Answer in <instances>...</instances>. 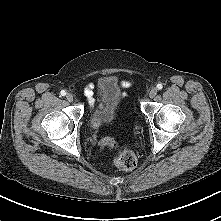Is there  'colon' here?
<instances>
[{
    "mask_svg": "<svg viewBox=\"0 0 221 221\" xmlns=\"http://www.w3.org/2000/svg\"><path fill=\"white\" fill-rule=\"evenodd\" d=\"M101 146L114 147L116 146V142L114 139L107 137L102 139ZM114 163L119 169L129 171L136 167L137 156L131 149L123 148L117 151L114 157Z\"/></svg>",
    "mask_w": 221,
    "mask_h": 221,
    "instance_id": "colon-1",
    "label": "colon"
}]
</instances>
